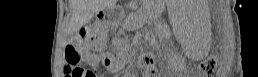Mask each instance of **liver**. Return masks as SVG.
Segmentation results:
<instances>
[{
    "label": "liver",
    "instance_id": "6515ba94",
    "mask_svg": "<svg viewBox=\"0 0 258 77\" xmlns=\"http://www.w3.org/2000/svg\"><path fill=\"white\" fill-rule=\"evenodd\" d=\"M116 0H71L72 18L70 28L77 32L88 23L95 13L115 5Z\"/></svg>",
    "mask_w": 258,
    "mask_h": 77
}]
</instances>
